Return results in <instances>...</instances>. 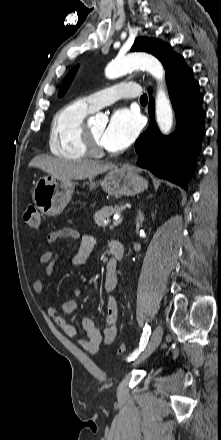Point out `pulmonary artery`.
Wrapping results in <instances>:
<instances>
[{
  "instance_id": "1",
  "label": "pulmonary artery",
  "mask_w": 221,
  "mask_h": 440,
  "mask_svg": "<svg viewBox=\"0 0 221 440\" xmlns=\"http://www.w3.org/2000/svg\"><path fill=\"white\" fill-rule=\"evenodd\" d=\"M141 94L139 84L135 82L119 83L109 88L100 90L85 97L91 108L95 111L113 103L121 98L137 97Z\"/></svg>"
}]
</instances>
